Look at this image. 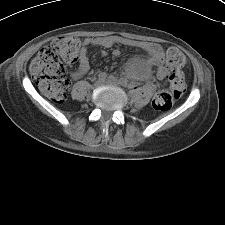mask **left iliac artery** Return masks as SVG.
Here are the masks:
<instances>
[{"label": "left iliac artery", "mask_w": 225, "mask_h": 225, "mask_svg": "<svg viewBox=\"0 0 225 225\" xmlns=\"http://www.w3.org/2000/svg\"><path fill=\"white\" fill-rule=\"evenodd\" d=\"M120 83H121V85H123V86H128V81H127L125 78H121V79H120Z\"/></svg>", "instance_id": "obj_1"}]
</instances>
